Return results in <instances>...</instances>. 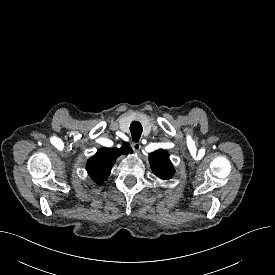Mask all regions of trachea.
Here are the masks:
<instances>
[{
  "instance_id": "3493384b",
  "label": "trachea",
  "mask_w": 275,
  "mask_h": 275,
  "mask_svg": "<svg viewBox=\"0 0 275 275\" xmlns=\"http://www.w3.org/2000/svg\"><path fill=\"white\" fill-rule=\"evenodd\" d=\"M142 125L138 121H133L130 125L132 140L138 142L142 134Z\"/></svg>"
}]
</instances>
